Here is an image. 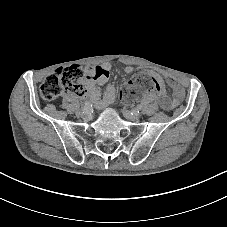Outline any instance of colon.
I'll return each instance as SVG.
<instances>
[{
  "mask_svg": "<svg viewBox=\"0 0 227 227\" xmlns=\"http://www.w3.org/2000/svg\"><path fill=\"white\" fill-rule=\"evenodd\" d=\"M85 82L83 71L78 65H70L58 68L53 74L46 77L40 86V94L43 100L52 101L60 96L64 90L73 91L76 94L84 92ZM162 91L161 85L151 75L142 73L136 75L131 81L120 89V97L125 102H133L147 91Z\"/></svg>",
  "mask_w": 227,
  "mask_h": 227,
  "instance_id": "colon-1",
  "label": "colon"
}]
</instances>
